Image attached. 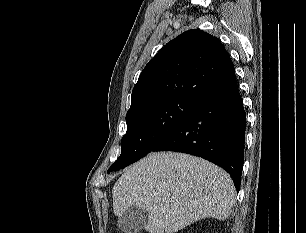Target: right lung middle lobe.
I'll use <instances>...</instances> for the list:
<instances>
[{"label":"right lung middle lobe","instance_id":"right-lung-middle-lobe-1","mask_svg":"<svg viewBox=\"0 0 306 233\" xmlns=\"http://www.w3.org/2000/svg\"><path fill=\"white\" fill-rule=\"evenodd\" d=\"M200 105L187 98L174 97L127 112L122 152L108 173L122 169L153 151Z\"/></svg>","mask_w":306,"mask_h":233}]
</instances>
